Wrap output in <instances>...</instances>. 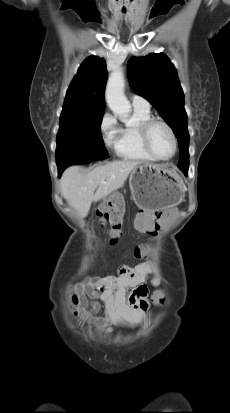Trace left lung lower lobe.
<instances>
[{"instance_id":"1","label":"left lung lower lobe","mask_w":230,"mask_h":413,"mask_svg":"<svg viewBox=\"0 0 230 413\" xmlns=\"http://www.w3.org/2000/svg\"><path fill=\"white\" fill-rule=\"evenodd\" d=\"M183 173L185 174V176H187V174H188V171L186 170V171H183Z\"/></svg>"}]
</instances>
